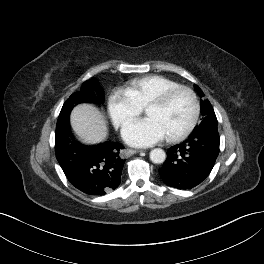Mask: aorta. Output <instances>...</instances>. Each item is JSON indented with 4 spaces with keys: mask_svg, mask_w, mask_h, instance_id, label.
I'll return each mask as SVG.
<instances>
[{
    "mask_svg": "<svg viewBox=\"0 0 264 264\" xmlns=\"http://www.w3.org/2000/svg\"><path fill=\"white\" fill-rule=\"evenodd\" d=\"M166 159V153L161 148H155L150 152V160L155 164H161Z\"/></svg>",
    "mask_w": 264,
    "mask_h": 264,
    "instance_id": "1",
    "label": "aorta"
}]
</instances>
